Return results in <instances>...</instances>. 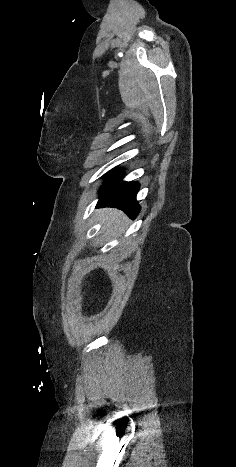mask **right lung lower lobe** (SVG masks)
<instances>
[{
    "label": "right lung lower lobe",
    "mask_w": 236,
    "mask_h": 467,
    "mask_svg": "<svg viewBox=\"0 0 236 467\" xmlns=\"http://www.w3.org/2000/svg\"><path fill=\"white\" fill-rule=\"evenodd\" d=\"M109 174L100 190L101 196L97 207H117L131 218H135L140 211V206L136 201L139 184L122 181L123 173L120 170L110 171Z\"/></svg>",
    "instance_id": "1"
}]
</instances>
